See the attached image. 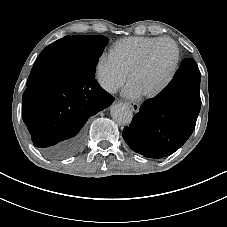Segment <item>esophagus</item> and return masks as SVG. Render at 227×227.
<instances>
[{
	"instance_id": "esophagus-1",
	"label": "esophagus",
	"mask_w": 227,
	"mask_h": 227,
	"mask_svg": "<svg viewBox=\"0 0 227 227\" xmlns=\"http://www.w3.org/2000/svg\"><path fill=\"white\" fill-rule=\"evenodd\" d=\"M128 105L133 112L137 113L139 111L140 105L138 103L128 102Z\"/></svg>"
}]
</instances>
